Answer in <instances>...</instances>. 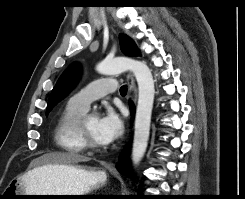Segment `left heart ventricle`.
Returning <instances> with one entry per match:
<instances>
[{
	"label": "left heart ventricle",
	"mask_w": 245,
	"mask_h": 199,
	"mask_svg": "<svg viewBox=\"0 0 245 199\" xmlns=\"http://www.w3.org/2000/svg\"><path fill=\"white\" fill-rule=\"evenodd\" d=\"M98 119L95 116H90L85 120V129L88 136L96 143L102 144L97 134Z\"/></svg>",
	"instance_id": "1"
}]
</instances>
